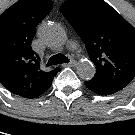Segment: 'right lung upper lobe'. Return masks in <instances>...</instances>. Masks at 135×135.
I'll return each instance as SVG.
<instances>
[{
	"mask_svg": "<svg viewBox=\"0 0 135 135\" xmlns=\"http://www.w3.org/2000/svg\"><path fill=\"white\" fill-rule=\"evenodd\" d=\"M52 6L50 0H19L0 15V83L21 97L44 93L61 70L42 71L31 49L36 26Z\"/></svg>",
	"mask_w": 135,
	"mask_h": 135,
	"instance_id": "cb5924a9",
	"label": "right lung upper lobe"
}]
</instances>
